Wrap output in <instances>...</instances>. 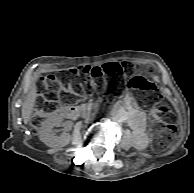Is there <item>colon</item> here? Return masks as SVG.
Masks as SVG:
<instances>
[{
	"label": "colon",
	"mask_w": 194,
	"mask_h": 193,
	"mask_svg": "<svg viewBox=\"0 0 194 193\" xmlns=\"http://www.w3.org/2000/svg\"><path fill=\"white\" fill-rule=\"evenodd\" d=\"M138 71V67L128 63L111 62L102 66L67 69L61 71L59 75L53 73L44 75L40 79L38 87L39 98L37 111L32 122L33 127H39L49 113L58 109L60 103L69 102L72 94L77 93V89L72 86V81L79 73L90 76L95 80L104 76L111 77L116 81V89H119L118 82L129 76L127 83L129 90L145 108L151 110L154 147L157 150L169 147L177 132L176 126L170 121L171 110L168 106L160 104L162 96L158 86L144 76L138 75Z\"/></svg>",
	"instance_id": "colon-1"
}]
</instances>
